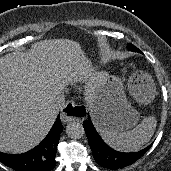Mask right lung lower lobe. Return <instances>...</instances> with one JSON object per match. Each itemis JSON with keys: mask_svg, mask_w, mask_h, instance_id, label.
<instances>
[{"mask_svg": "<svg viewBox=\"0 0 171 171\" xmlns=\"http://www.w3.org/2000/svg\"><path fill=\"white\" fill-rule=\"evenodd\" d=\"M63 126L59 118L46 138L32 150L23 154L0 152V161L16 171H50L55 167V156Z\"/></svg>", "mask_w": 171, "mask_h": 171, "instance_id": "obj_1", "label": "right lung lower lobe"}]
</instances>
